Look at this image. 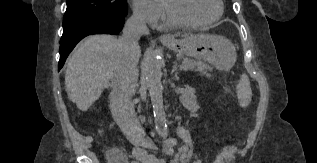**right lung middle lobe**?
<instances>
[{"instance_id": "right-lung-middle-lobe-1", "label": "right lung middle lobe", "mask_w": 317, "mask_h": 163, "mask_svg": "<svg viewBox=\"0 0 317 163\" xmlns=\"http://www.w3.org/2000/svg\"><path fill=\"white\" fill-rule=\"evenodd\" d=\"M63 29L104 15H127L126 0H67Z\"/></svg>"}]
</instances>
